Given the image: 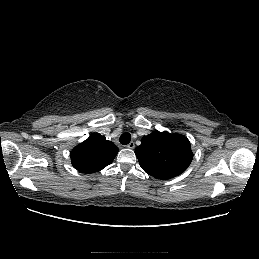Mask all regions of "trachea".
Instances as JSON below:
<instances>
[{
    "label": "trachea",
    "instance_id": "obj_1",
    "mask_svg": "<svg viewBox=\"0 0 259 259\" xmlns=\"http://www.w3.org/2000/svg\"><path fill=\"white\" fill-rule=\"evenodd\" d=\"M120 143L122 145H127L129 144V142L131 141V135L129 133H123L121 136H120Z\"/></svg>",
    "mask_w": 259,
    "mask_h": 259
}]
</instances>
